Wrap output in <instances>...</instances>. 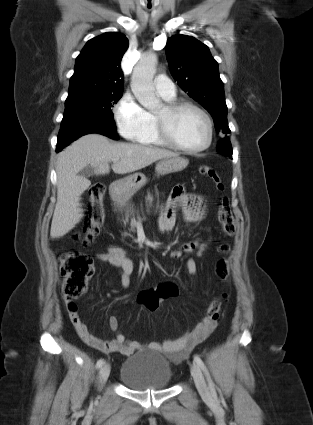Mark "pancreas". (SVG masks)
<instances>
[{"label":"pancreas","mask_w":313,"mask_h":425,"mask_svg":"<svg viewBox=\"0 0 313 425\" xmlns=\"http://www.w3.org/2000/svg\"><path fill=\"white\" fill-rule=\"evenodd\" d=\"M146 201L148 202L149 206L152 205V201H153V197L148 194ZM135 210L133 209V207H130L127 209L126 214H125V222H128L129 217L131 218V229L134 230L135 229ZM123 236H128V233H124Z\"/></svg>","instance_id":"pancreas-1"}]
</instances>
